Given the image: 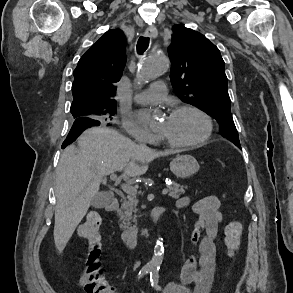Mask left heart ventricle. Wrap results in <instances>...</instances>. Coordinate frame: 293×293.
I'll return each instance as SVG.
<instances>
[{
	"instance_id": "1",
	"label": "left heart ventricle",
	"mask_w": 293,
	"mask_h": 293,
	"mask_svg": "<svg viewBox=\"0 0 293 293\" xmlns=\"http://www.w3.org/2000/svg\"><path fill=\"white\" fill-rule=\"evenodd\" d=\"M204 120L195 112L183 111L166 116L160 124V135L176 142H191L203 135Z\"/></svg>"
}]
</instances>
